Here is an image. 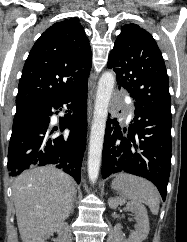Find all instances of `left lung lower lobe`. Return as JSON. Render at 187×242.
<instances>
[{"label": "left lung lower lobe", "instance_id": "left-lung-lower-lobe-1", "mask_svg": "<svg viewBox=\"0 0 187 242\" xmlns=\"http://www.w3.org/2000/svg\"><path fill=\"white\" fill-rule=\"evenodd\" d=\"M134 119L127 135L117 119H108L105 131L102 177L124 172L150 180L163 201L171 169V114L135 102Z\"/></svg>", "mask_w": 187, "mask_h": 242}]
</instances>
